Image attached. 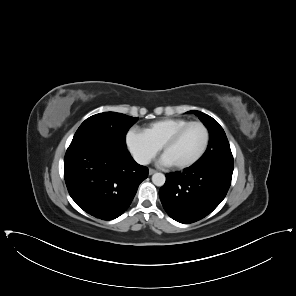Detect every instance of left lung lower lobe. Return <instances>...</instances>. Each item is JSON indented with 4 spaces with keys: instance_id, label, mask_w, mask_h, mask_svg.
<instances>
[{
    "instance_id": "1",
    "label": "left lung lower lobe",
    "mask_w": 296,
    "mask_h": 296,
    "mask_svg": "<svg viewBox=\"0 0 296 296\" xmlns=\"http://www.w3.org/2000/svg\"><path fill=\"white\" fill-rule=\"evenodd\" d=\"M233 161L209 165L194 163L183 172L166 174L159 190L165 211L180 223H193L210 214L224 199L231 184Z\"/></svg>"
}]
</instances>
